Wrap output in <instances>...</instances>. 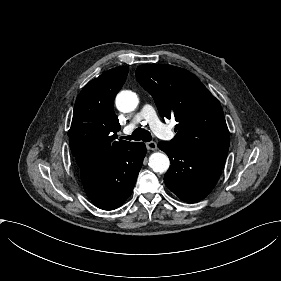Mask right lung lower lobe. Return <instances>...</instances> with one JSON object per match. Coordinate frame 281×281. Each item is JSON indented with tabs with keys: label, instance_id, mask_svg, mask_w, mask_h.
I'll return each mask as SVG.
<instances>
[{
	"label": "right lung lower lobe",
	"instance_id": "obj_1",
	"mask_svg": "<svg viewBox=\"0 0 281 281\" xmlns=\"http://www.w3.org/2000/svg\"><path fill=\"white\" fill-rule=\"evenodd\" d=\"M145 154L144 143L131 142L114 160L88 171L78 169L89 199L103 210L121 206L133 191Z\"/></svg>",
	"mask_w": 281,
	"mask_h": 281
}]
</instances>
